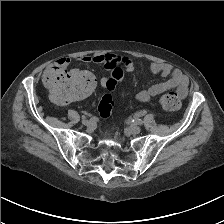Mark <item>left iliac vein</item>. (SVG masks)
I'll use <instances>...</instances> for the list:
<instances>
[{
  "instance_id": "obj_1",
  "label": "left iliac vein",
  "mask_w": 224,
  "mask_h": 224,
  "mask_svg": "<svg viewBox=\"0 0 224 224\" xmlns=\"http://www.w3.org/2000/svg\"><path fill=\"white\" fill-rule=\"evenodd\" d=\"M140 131H141V129L137 125H131L130 127H128V132L131 134H138V133H140Z\"/></svg>"
}]
</instances>
